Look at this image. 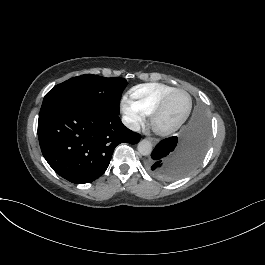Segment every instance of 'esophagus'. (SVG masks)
<instances>
[{
    "label": "esophagus",
    "mask_w": 265,
    "mask_h": 265,
    "mask_svg": "<svg viewBox=\"0 0 265 265\" xmlns=\"http://www.w3.org/2000/svg\"><path fill=\"white\" fill-rule=\"evenodd\" d=\"M150 141L153 143V144H156L158 142L157 139H154V138H150Z\"/></svg>",
    "instance_id": "1"
}]
</instances>
